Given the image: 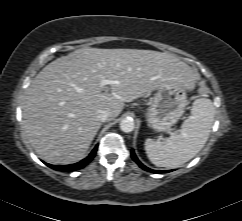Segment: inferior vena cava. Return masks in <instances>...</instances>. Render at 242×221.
<instances>
[{
    "label": "inferior vena cava",
    "instance_id": "1",
    "mask_svg": "<svg viewBox=\"0 0 242 221\" xmlns=\"http://www.w3.org/2000/svg\"><path fill=\"white\" fill-rule=\"evenodd\" d=\"M97 117L101 122H106L109 120V113L106 110H98Z\"/></svg>",
    "mask_w": 242,
    "mask_h": 221
}]
</instances>
